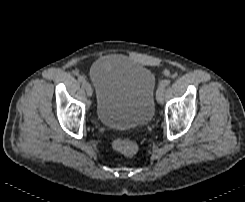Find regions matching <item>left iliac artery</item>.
<instances>
[{
	"label": "left iliac artery",
	"instance_id": "1",
	"mask_svg": "<svg viewBox=\"0 0 245 202\" xmlns=\"http://www.w3.org/2000/svg\"><path fill=\"white\" fill-rule=\"evenodd\" d=\"M170 84V80L169 79H165V80H162L159 84V87L160 86H168Z\"/></svg>",
	"mask_w": 245,
	"mask_h": 202
}]
</instances>
